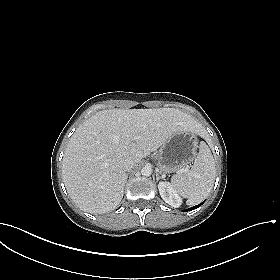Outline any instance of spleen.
<instances>
[{
  "label": "spleen",
  "mask_w": 280,
  "mask_h": 280,
  "mask_svg": "<svg viewBox=\"0 0 280 280\" xmlns=\"http://www.w3.org/2000/svg\"><path fill=\"white\" fill-rule=\"evenodd\" d=\"M215 166L210 148L205 142H201L191 169L172 176L173 187L183 198H187L188 205L198 204L208 196L215 182Z\"/></svg>",
  "instance_id": "3e777b00"
}]
</instances>
